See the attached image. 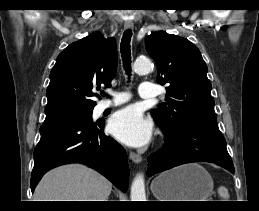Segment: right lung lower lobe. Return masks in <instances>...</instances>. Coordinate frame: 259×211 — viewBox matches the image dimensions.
Returning a JSON list of instances; mask_svg holds the SVG:
<instances>
[{"label":"right lung lower lobe","instance_id":"1","mask_svg":"<svg viewBox=\"0 0 259 211\" xmlns=\"http://www.w3.org/2000/svg\"><path fill=\"white\" fill-rule=\"evenodd\" d=\"M104 123L71 118L43 123L34 151L31 190L50 169L82 163L104 175L122 191L128 188L129 168L123 147L103 133Z\"/></svg>","mask_w":259,"mask_h":211}]
</instances>
